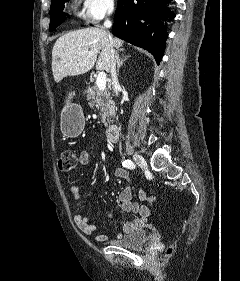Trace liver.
<instances>
[{
  "instance_id": "1",
  "label": "liver",
  "mask_w": 240,
  "mask_h": 281,
  "mask_svg": "<svg viewBox=\"0 0 240 281\" xmlns=\"http://www.w3.org/2000/svg\"><path fill=\"white\" fill-rule=\"evenodd\" d=\"M112 42L116 48L123 45V41L116 37L112 38ZM110 49L109 34L100 28L91 27L64 34L57 39L52 49L55 82L68 76L82 75L91 70L95 63L98 71L110 72Z\"/></svg>"
}]
</instances>
